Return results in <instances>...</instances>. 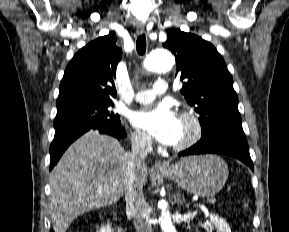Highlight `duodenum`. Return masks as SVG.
Returning <instances> with one entry per match:
<instances>
[{
  "label": "duodenum",
  "mask_w": 289,
  "mask_h": 232,
  "mask_svg": "<svg viewBox=\"0 0 289 232\" xmlns=\"http://www.w3.org/2000/svg\"><path fill=\"white\" fill-rule=\"evenodd\" d=\"M115 232H125L124 229L117 223L114 224Z\"/></svg>",
  "instance_id": "410a0bca"
}]
</instances>
